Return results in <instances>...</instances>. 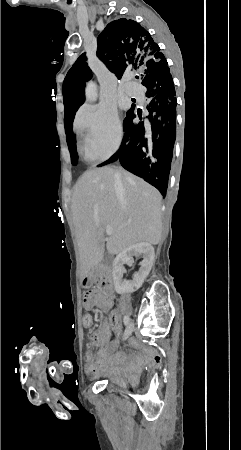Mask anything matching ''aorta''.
Segmentation results:
<instances>
[{"label":"aorta","mask_w":241,"mask_h":450,"mask_svg":"<svg viewBox=\"0 0 241 450\" xmlns=\"http://www.w3.org/2000/svg\"><path fill=\"white\" fill-rule=\"evenodd\" d=\"M86 98L90 102H95L97 100V93L94 84H89L86 90Z\"/></svg>","instance_id":"aorta-1"}]
</instances>
